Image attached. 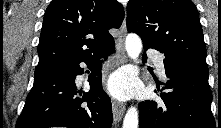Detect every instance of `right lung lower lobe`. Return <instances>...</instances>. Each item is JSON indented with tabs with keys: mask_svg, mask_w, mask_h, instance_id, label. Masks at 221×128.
Instances as JSON below:
<instances>
[{
	"mask_svg": "<svg viewBox=\"0 0 221 128\" xmlns=\"http://www.w3.org/2000/svg\"><path fill=\"white\" fill-rule=\"evenodd\" d=\"M114 43L88 58H74L42 73L35 74L16 128H111L112 105L102 89L101 58L114 52ZM85 62L91 70L90 91L82 97L75 78L84 73Z\"/></svg>",
	"mask_w": 221,
	"mask_h": 128,
	"instance_id": "98d812e1",
	"label": "right lung lower lobe"
}]
</instances>
